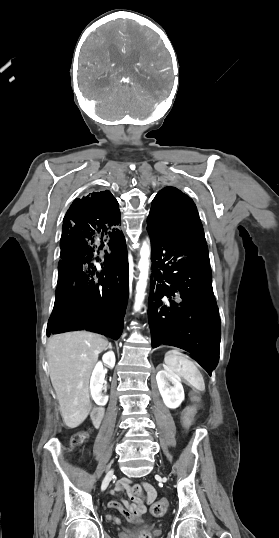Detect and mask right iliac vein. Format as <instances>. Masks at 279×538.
I'll list each match as a JSON object with an SVG mask.
<instances>
[{"instance_id":"obj_1","label":"right iliac vein","mask_w":279,"mask_h":538,"mask_svg":"<svg viewBox=\"0 0 279 538\" xmlns=\"http://www.w3.org/2000/svg\"><path fill=\"white\" fill-rule=\"evenodd\" d=\"M112 476H113V470H110L105 478L103 479V482H102V485H101V489L102 490H105L107 488V486L109 485L111 479H112Z\"/></svg>"}]
</instances>
